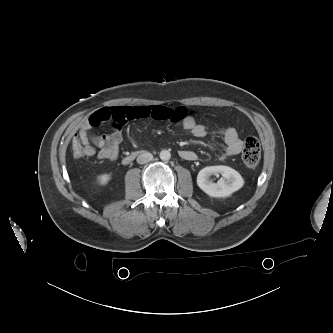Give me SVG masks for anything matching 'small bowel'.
<instances>
[{
    "instance_id": "small-bowel-1",
    "label": "small bowel",
    "mask_w": 333,
    "mask_h": 333,
    "mask_svg": "<svg viewBox=\"0 0 333 333\" xmlns=\"http://www.w3.org/2000/svg\"><path fill=\"white\" fill-rule=\"evenodd\" d=\"M139 119H153L181 124L182 128L195 137H204L206 127L196 121L191 111L186 107L152 106H118L107 107L94 112L81 126L79 140L81 141L85 156H95L99 160L115 161L119 155V146L122 142V129L127 122ZM108 125L111 132L104 135L90 136L89 131L94 127ZM224 142L223 158L237 155L242 149V140L233 127L222 132ZM180 155L185 160H194L195 154L189 150H182Z\"/></svg>"
}]
</instances>
